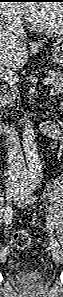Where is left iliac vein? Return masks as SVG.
Instances as JSON below:
<instances>
[{
  "instance_id": "1",
  "label": "left iliac vein",
  "mask_w": 63,
  "mask_h": 297,
  "mask_svg": "<svg viewBox=\"0 0 63 297\" xmlns=\"http://www.w3.org/2000/svg\"><path fill=\"white\" fill-rule=\"evenodd\" d=\"M53 257H54L55 260L57 259V257H58V251H54Z\"/></svg>"
}]
</instances>
